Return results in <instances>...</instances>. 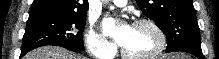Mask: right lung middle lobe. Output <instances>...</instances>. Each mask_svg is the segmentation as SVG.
Returning a JSON list of instances; mask_svg holds the SVG:
<instances>
[{"label": "right lung middle lobe", "mask_w": 219, "mask_h": 59, "mask_svg": "<svg viewBox=\"0 0 219 59\" xmlns=\"http://www.w3.org/2000/svg\"><path fill=\"white\" fill-rule=\"evenodd\" d=\"M85 24L86 14L29 13L21 54L25 55L32 49L45 45L84 50L82 33Z\"/></svg>", "instance_id": "right-lung-middle-lobe-1"}]
</instances>
